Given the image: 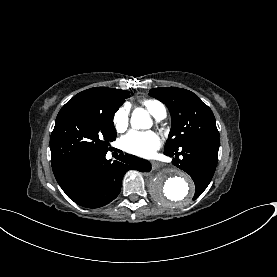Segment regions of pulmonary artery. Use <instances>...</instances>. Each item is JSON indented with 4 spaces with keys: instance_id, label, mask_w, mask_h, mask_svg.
I'll return each instance as SVG.
<instances>
[{
    "instance_id": "e3ab8cb5",
    "label": "pulmonary artery",
    "mask_w": 277,
    "mask_h": 277,
    "mask_svg": "<svg viewBox=\"0 0 277 277\" xmlns=\"http://www.w3.org/2000/svg\"><path fill=\"white\" fill-rule=\"evenodd\" d=\"M166 116H167V111H166L165 107H162L159 115L157 116V119L164 120L166 118Z\"/></svg>"
}]
</instances>
